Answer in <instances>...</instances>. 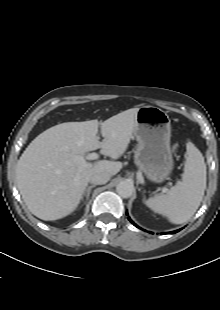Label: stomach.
<instances>
[{"instance_id":"1","label":"stomach","mask_w":220,"mask_h":310,"mask_svg":"<svg viewBox=\"0 0 220 310\" xmlns=\"http://www.w3.org/2000/svg\"><path fill=\"white\" fill-rule=\"evenodd\" d=\"M133 134L138 142L134 152L136 166L148 180L164 181L174 167L169 116L158 107L142 106L136 115Z\"/></svg>"}]
</instances>
